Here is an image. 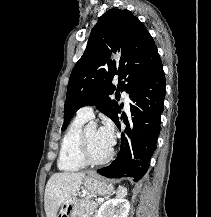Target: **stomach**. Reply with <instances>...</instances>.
Listing matches in <instances>:
<instances>
[{
    "instance_id": "1",
    "label": "stomach",
    "mask_w": 211,
    "mask_h": 217,
    "mask_svg": "<svg viewBox=\"0 0 211 217\" xmlns=\"http://www.w3.org/2000/svg\"><path fill=\"white\" fill-rule=\"evenodd\" d=\"M83 186L93 195H108L114 190L111 183L95 173H89L84 177ZM57 217H79V200L75 195L62 205Z\"/></svg>"
}]
</instances>
